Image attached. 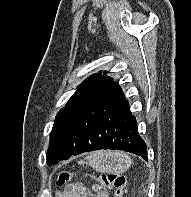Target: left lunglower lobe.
<instances>
[{
  "instance_id": "left-lung-lower-lobe-1",
  "label": "left lung lower lobe",
  "mask_w": 191,
  "mask_h": 197,
  "mask_svg": "<svg viewBox=\"0 0 191 197\" xmlns=\"http://www.w3.org/2000/svg\"><path fill=\"white\" fill-rule=\"evenodd\" d=\"M65 129L67 141L73 147L70 156L117 149L147 160L146 144L138 134L136 119L119 85L80 104Z\"/></svg>"
}]
</instances>
